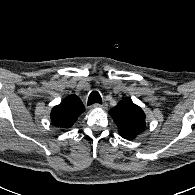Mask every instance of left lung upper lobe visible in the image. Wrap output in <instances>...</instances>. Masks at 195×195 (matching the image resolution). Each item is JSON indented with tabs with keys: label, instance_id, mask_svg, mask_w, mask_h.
<instances>
[{
	"label": "left lung upper lobe",
	"instance_id": "obj_1",
	"mask_svg": "<svg viewBox=\"0 0 195 195\" xmlns=\"http://www.w3.org/2000/svg\"><path fill=\"white\" fill-rule=\"evenodd\" d=\"M109 114L124 139L133 140L145 129L146 120L143 110L129 99L120 101L109 111Z\"/></svg>",
	"mask_w": 195,
	"mask_h": 195
}]
</instances>
